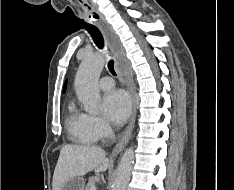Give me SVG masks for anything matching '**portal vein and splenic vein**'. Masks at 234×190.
Instances as JSON below:
<instances>
[{"mask_svg":"<svg viewBox=\"0 0 234 190\" xmlns=\"http://www.w3.org/2000/svg\"><path fill=\"white\" fill-rule=\"evenodd\" d=\"M91 190H96V187H95V186H93V187L91 188Z\"/></svg>","mask_w":234,"mask_h":190,"instance_id":"obj_1","label":"portal vein and splenic vein"}]
</instances>
